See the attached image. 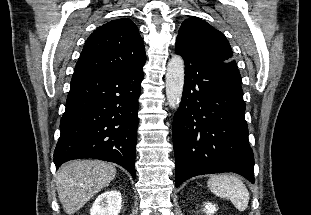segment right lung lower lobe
<instances>
[{"label": "right lung lower lobe", "mask_w": 311, "mask_h": 215, "mask_svg": "<svg viewBox=\"0 0 311 215\" xmlns=\"http://www.w3.org/2000/svg\"><path fill=\"white\" fill-rule=\"evenodd\" d=\"M144 73L74 72L61 134L54 152L56 167L78 158L114 162L135 178L138 97Z\"/></svg>", "instance_id": "1"}]
</instances>
